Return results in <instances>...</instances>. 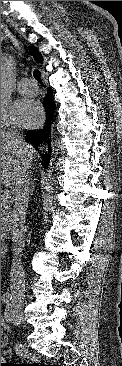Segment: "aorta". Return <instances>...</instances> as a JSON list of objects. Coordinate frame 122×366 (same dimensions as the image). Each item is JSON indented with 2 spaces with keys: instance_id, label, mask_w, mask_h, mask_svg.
<instances>
[{
  "instance_id": "762f6f07",
  "label": "aorta",
  "mask_w": 122,
  "mask_h": 366,
  "mask_svg": "<svg viewBox=\"0 0 122 366\" xmlns=\"http://www.w3.org/2000/svg\"><path fill=\"white\" fill-rule=\"evenodd\" d=\"M13 60L5 55L1 56V101L9 98L13 84Z\"/></svg>"
}]
</instances>
